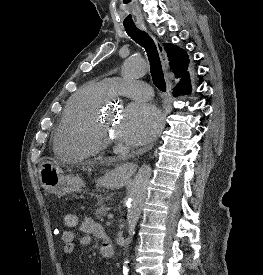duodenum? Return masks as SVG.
<instances>
[{"label":"duodenum","instance_id":"obj_1","mask_svg":"<svg viewBox=\"0 0 263 275\" xmlns=\"http://www.w3.org/2000/svg\"><path fill=\"white\" fill-rule=\"evenodd\" d=\"M114 254V249H113V245H112V242L110 241V239L108 238V236H106L105 238V249L102 253V255L104 257H112Z\"/></svg>","mask_w":263,"mask_h":275}]
</instances>
